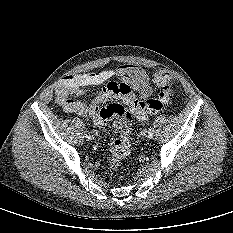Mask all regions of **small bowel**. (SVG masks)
<instances>
[{
  "label": "small bowel",
  "mask_w": 233,
  "mask_h": 233,
  "mask_svg": "<svg viewBox=\"0 0 233 233\" xmlns=\"http://www.w3.org/2000/svg\"><path fill=\"white\" fill-rule=\"evenodd\" d=\"M117 77L120 82L110 81ZM105 84L91 106L76 100L73 96L82 95L85 88ZM126 85L131 92H137L142 98H147L152 93V82L149 72L137 65L124 64L114 69L100 72H90L67 76L56 88L58 103L67 113L85 116L91 115L93 107L101 103L122 98L120 86Z\"/></svg>",
  "instance_id": "obj_1"
}]
</instances>
